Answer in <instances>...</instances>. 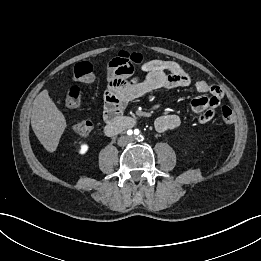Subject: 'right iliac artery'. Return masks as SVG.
I'll return each instance as SVG.
<instances>
[{
  "label": "right iliac artery",
  "instance_id": "right-iliac-artery-1",
  "mask_svg": "<svg viewBox=\"0 0 261 261\" xmlns=\"http://www.w3.org/2000/svg\"><path fill=\"white\" fill-rule=\"evenodd\" d=\"M127 134H128V135H131V134H132V130H129V131L127 132Z\"/></svg>",
  "mask_w": 261,
  "mask_h": 261
}]
</instances>
